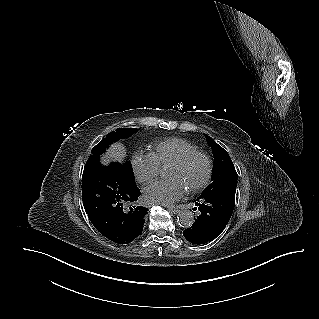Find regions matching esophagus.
Listing matches in <instances>:
<instances>
[{
    "label": "esophagus",
    "instance_id": "34e87169",
    "mask_svg": "<svg viewBox=\"0 0 319 319\" xmlns=\"http://www.w3.org/2000/svg\"><path fill=\"white\" fill-rule=\"evenodd\" d=\"M167 208H168L169 211H171L174 214H177L180 211L178 208H176L174 206H167Z\"/></svg>",
    "mask_w": 319,
    "mask_h": 319
}]
</instances>
